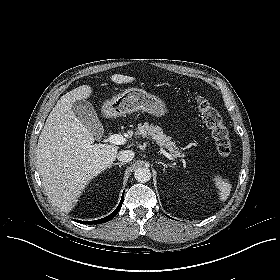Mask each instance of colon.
<instances>
[{"instance_id":"1","label":"colon","mask_w":280,"mask_h":280,"mask_svg":"<svg viewBox=\"0 0 280 280\" xmlns=\"http://www.w3.org/2000/svg\"><path fill=\"white\" fill-rule=\"evenodd\" d=\"M198 111L202 121L211 131L219 154L228 156L231 152V141L219 111L206 100H199Z\"/></svg>"}]
</instances>
